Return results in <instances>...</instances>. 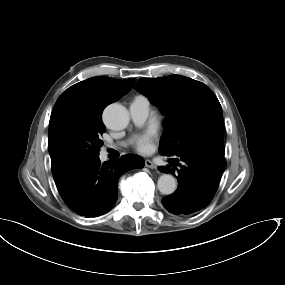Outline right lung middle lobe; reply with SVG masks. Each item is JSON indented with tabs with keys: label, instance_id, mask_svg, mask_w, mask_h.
I'll return each mask as SVG.
<instances>
[{
	"label": "right lung middle lobe",
	"instance_id": "1",
	"mask_svg": "<svg viewBox=\"0 0 285 285\" xmlns=\"http://www.w3.org/2000/svg\"><path fill=\"white\" fill-rule=\"evenodd\" d=\"M103 108L78 99L57 100L51 113L48 149L53 173L64 172L99 157L106 127Z\"/></svg>",
	"mask_w": 285,
	"mask_h": 285
}]
</instances>
